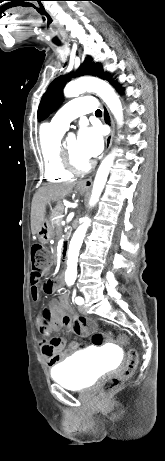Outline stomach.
<instances>
[{
    "label": "stomach",
    "mask_w": 165,
    "mask_h": 461,
    "mask_svg": "<svg viewBox=\"0 0 165 461\" xmlns=\"http://www.w3.org/2000/svg\"><path fill=\"white\" fill-rule=\"evenodd\" d=\"M78 190L84 192V188L78 186ZM54 236V228L52 227L50 221L48 219H44L40 230L37 232L38 240L42 244L48 243V241Z\"/></svg>",
    "instance_id": "1"
}]
</instances>
